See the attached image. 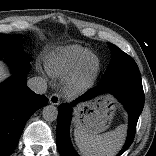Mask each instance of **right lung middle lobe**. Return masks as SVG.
<instances>
[{
	"label": "right lung middle lobe",
	"mask_w": 156,
	"mask_h": 156,
	"mask_svg": "<svg viewBox=\"0 0 156 156\" xmlns=\"http://www.w3.org/2000/svg\"><path fill=\"white\" fill-rule=\"evenodd\" d=\"M1 58L28 61L21 46L20 35L0 34V59Z\"/></svg>",
	"instance_id": "right-lung-middle-lobe-1"
}]
</instances>
